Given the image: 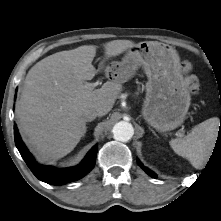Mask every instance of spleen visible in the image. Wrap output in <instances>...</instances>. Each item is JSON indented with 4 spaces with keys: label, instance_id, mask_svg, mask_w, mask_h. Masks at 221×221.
I'll return each instance as SVG.
<instances>
[{
    "label": "spleen",
    "instance_id": "spleen-1",
    "mask_svg": "<svg viewBox=\"0 0 221 221\" xmlns=\"http://www.w3.org/2000/svg\"><path fill=\"white\" fill-rule=\"evenodd\" d=\"M219 130V119L210 118L192 128L182 138L172 139L174 152L190 161L193 167L202 169L210 158Z\"/></svg>",
    "mask_w": 221,
    "mask_h": 221
}]
</instances>
